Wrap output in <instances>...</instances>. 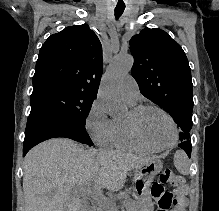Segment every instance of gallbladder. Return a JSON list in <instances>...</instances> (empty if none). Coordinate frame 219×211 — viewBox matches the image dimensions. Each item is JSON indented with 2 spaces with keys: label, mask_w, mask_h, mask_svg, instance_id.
I'll list each match as a JSON object with an SVG mask.
<instances>
[{
  "label": "gallbladder",
  "mask_w": 219,
  "mask_h": 211,
  "mask_svg": "<svg viewBox=\"0 0 219 211\" xmlns=\"http://www.w3.org/2000/svg\"><path fill=\"white\" fill-rule=\"evenodd\" d=\"M50 197H52V195H50ZM80 211H87L86 205H84V207H81Z\"/></svg>",
  "instance_id": "obj_1"
}]
</instances>
